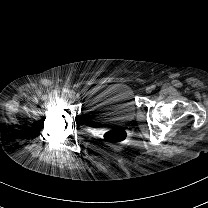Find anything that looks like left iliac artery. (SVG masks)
Here are the masks:
<instances>
[{
    "instance_id": "1",
    "label": "left iliac artery",
    "mask_w": 208,
    "mask_h": 208,
    "mask_svg": "<svg viewBox=\"0 0 208 208\" xmlns=\"http://www.w3.org/2000/svg\"><path fill=\"white\" fill-rule=\"evenodd\" d=\"M151 88H152V89H155V88H156V86H155V85H152V86H151Z\"/></svg>"
}]
</instances>
